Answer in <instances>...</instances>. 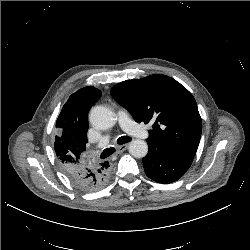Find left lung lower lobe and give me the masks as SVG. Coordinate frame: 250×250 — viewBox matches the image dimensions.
<instances>
[{"label":"left lung lower lobe","mask_w":250,"mask_h":250,"mask_svg":"<svg viewBox=\"0 0 250 250\" xmlns=\"http://www.w3.org/2000/svg\"><path fill=\"white\" fill-rule=\"evenodd\" d=\"M142 159L146 175L155 182L166 184L177 181L189 169L193 157L176 155L160 150L152 145Z\"/></svg>","instance_id":"1"}]
</instances>
